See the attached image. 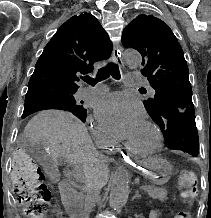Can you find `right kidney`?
<instances>
[{
    "mask_svg": "<svg viewBox=\"0 0 211 218\" xmlns=\"http://www.w3.org/2000/svg\"><path fill=\"white\" fill-rule=\"evenodd\" d=\"M57 214H63V209H57Z\"/></svg>",
    "mask_w": 211,
    "mask_h": 218,
    "instance_id": "1",
    "label": "right kidney"
}]
</instances>
